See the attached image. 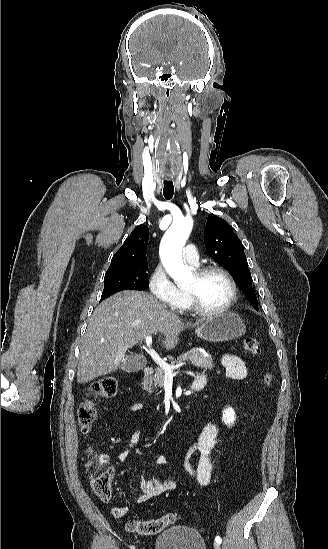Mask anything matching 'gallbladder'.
Listing matches in <instances>:
<instances>
[{"instance_id":"1","label":"gallbladder","mask_w":328,"mask_h":549,"mask_svg":"<svg viewBox=\"0 0 328 549\" xmlns=\"http://www.w3.org/2000/svg\"><path fill=\"white\" fill-rule=\"evenodd\" d=\"M147 361L143 355H127L125 365H120L124 373H137L146 367Z\"/></svg>"}]
</instances>
